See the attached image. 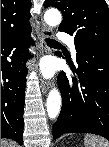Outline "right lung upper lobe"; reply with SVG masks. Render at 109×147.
I'll use <instances>...</instances> for the list:
<instances>
[{"instance_id":"right-lung-upper-lobe-1","label":"right lung upper lobe","mask_w":109,"mask_h":147,"mask_svg":"<svg viewBox=\"0 0 109 147\" xmlns=\"http://www.w3.org/2000/svg\"><path fill=\"white\" fill-rule=\"evenodd\" d=\"M30 0H1V41L31 29Z\"/></svg>"}]
</instances>
